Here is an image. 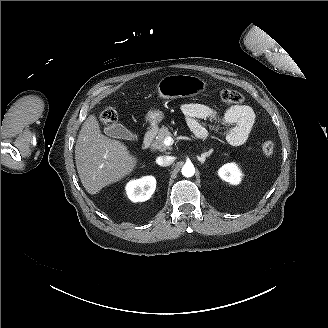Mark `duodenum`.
<instances>
[{
    "label": "duodenum",
    "instance_id": "duodenum-1",
    "mask_svg": "<svg viewBox=\"0 0 328 328\" xmlns=\"http://www.w3.org/2000/svg\"><path fill=\"white\" fill-rule=\"evenodd\" d=\"M156 134V130L154 128H149L143 138L142 141V148L143 149H148L150 147V145L152 144L154 137Z\"/></svg>",
    "mask_w": 328,
    "mask_h": 328
}]
</instances>
